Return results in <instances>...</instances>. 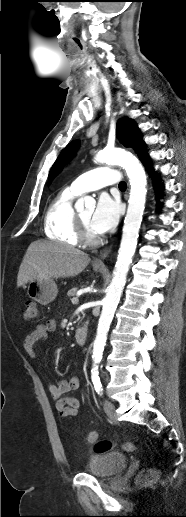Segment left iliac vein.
Returning a JSON list of instances; mask_svg holds the SVG:
<instances>
[{
	"instance_id": "obj_1",
	"label": "left iliac vein",
	"mask_w": 186,
	"mask_h": 517,
	"mask_svg": "<svg viewBox=\"0 0 186 517\" xmlns=\"http://www.w3.org/2000/svg\"><path fill=\"white\" fill-rule=\"evenodd\" d=\"M104 411L110 419H112L114 421L117 419V415L115 412V405L111 401H108V400L104 401Z\"/></svg>"
}]
</instances>
